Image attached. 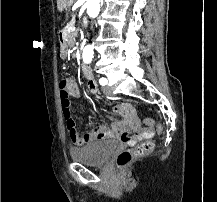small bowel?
I'll return each mask as SVG.
<instances>
[{
    "label": "small bowel",
    "mask_w": 217,
    "mask_h": 202,
    "mask_svg": "<svg viewBox=\"0 0 217 202\" xmlns=\"http://www.w3.org/2000/svg\"><path fill=\"white\" fill-rule=\"evenodd\" d=\"M87 86L91 94L95 95L98 93V87L93 78H88ZM80 95V88L73 80L70 97L79 98ZM113 108L115 113H125V115H121L122 118L120 120H116L109 125L94 128L86 133L80 134L75 132L73 135H70L72 144L74 146H84L109 139L118 140L125 146H133L138 141L143 140L144 136H153L152 128L141 127L135 113H133L135 104H128L127 101H122L121 104H114Z\"/></svg>",
    "instance_id": "c3829d8e"
}]
</instances>
